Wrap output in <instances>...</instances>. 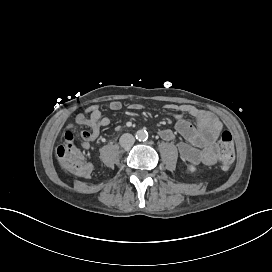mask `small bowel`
I'll list each match as a JSON object with an SVG mask.
<instances>
[{
	"label": "small bowel",
	"instance_id": "1",
	"mask_svg": "<svg viewBox=\"0 0 272 272\" xmlns=\"http://www.w3.org/2000/svg\"><path fill=\"white\" fill-rule=\"evenodd\" d=\"M108 108L117 112L123 108V104L115 100L109 103ZM141 108L142 106L137 103L130 105L132 110H140ZM165 108L177 112L175 129L185 139L177 145L180 158L193 164L213 165L214 160L208 156L206 150L219 137L223 129L221 121L212 112L190 104H167ZM185 115L191 116L193 121L185 119ZM110 123L111 119L102 114L99 105H90L83 112L78 113L75 116L74 124L89 128V130L81 132L82 147L89 149L98 139L101 128ZM74 124L70 123L67 127L73 131ZM158 135L165 141H171L175 138V133L170 129H163L159 131Z\"/></svg>",
	"mask_w": 272,
	"mask_h": 272
}]
</instances>
